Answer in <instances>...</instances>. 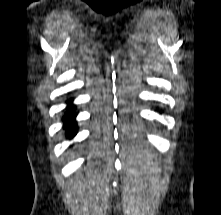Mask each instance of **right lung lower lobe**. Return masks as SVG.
<instances>
[{
  "label": "right lung lower lobe",
  "mask_w": 221,
  "mask_h": 215,
  "mask_svg": "<svg viewBox=\"0 0 221 215\" xmlns=\"http://www.w3.org/2000/svg\"><path fill=\"white\" fill-rule=\"evenodd\" d=\"M67 103H69L66 112L63 116V129L65 130V134L67 135V138L71 139L77 134V128H76V115L77 113L73 111V108L75 107L72 104V99L68 100Z\"/></svg>",
  "instance_id": "obj_1"
}]
</instances>
